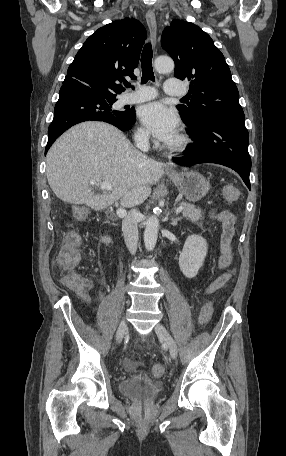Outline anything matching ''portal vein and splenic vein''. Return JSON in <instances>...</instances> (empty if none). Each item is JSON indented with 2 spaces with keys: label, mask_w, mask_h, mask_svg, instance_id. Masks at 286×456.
I'll use <instances>...</instances> for the list:
<instances>
[{
  "label": "portal vein and splenic vein",
  "mask_w": 286,
  "mask_h": 456,
  "mask_svg": "<svg viewBox=\"0 0 286 456\" xmlns=\"http://www.w3.org/2000/svg\"><path fill=\"white\" fill-rule=\"evenodd\" d=\"M90 185L94 186H98L100 187L102 190H105V191H110L112 190V184L108 181H103V182H100V183H96V182H93L91 181L90 182ZM184 208L182 206H179L177 209H176V214L180 213ZM117 215L119 217H125L127 215L126 211L122 208H118L117 211H116Z\"/></svg>",
  "instance_id": "portal-vein-and-splenic-vein-1"
}]
</instances>
